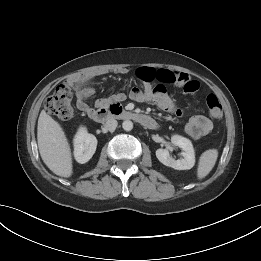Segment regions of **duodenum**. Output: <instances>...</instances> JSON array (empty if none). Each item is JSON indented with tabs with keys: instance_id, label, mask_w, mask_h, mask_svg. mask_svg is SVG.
<instances>
[{
	"instance_id": "1",
	"label": "duodenum",
	"mask_w": 261,
	"mask_h": 261,
	"mask_svg": "<svg viewBox=\"0 0 261 261\" xmlns=\"http://www.w3.org/2000/svg\"><path fill=\"white\" fill-rule=\"evenodd\" d=\"M90 116L95 121H103L111 117H118L125 120H133L149 129L157 128V123L152 117L146 114L125 110L117 103L102 106L92 111L90 113Z\"/></svg>"
}]
</instances>
